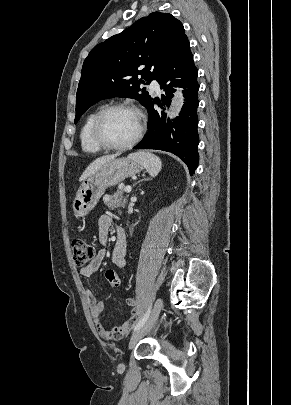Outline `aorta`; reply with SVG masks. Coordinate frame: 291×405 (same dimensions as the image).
<instances>
[{"mask_svg": "<svg viewBox=\"0 0 291 405\" xmlns=\"http://www.w3.org/2000/svg\"><path fill=\"white\" fill-rule=\"evenodd\" d=\"M183 103H184V99H183L182 91H181V89H177V91L175 92V94L173 96L171 106H170V112H169L170 118H174L179 115L181 108L183 106Z\"/></svg>", "mask_w": 291, "mask_h": 405, "instance_id": "aorta-1", "label": "aorta"}]
</instances>
